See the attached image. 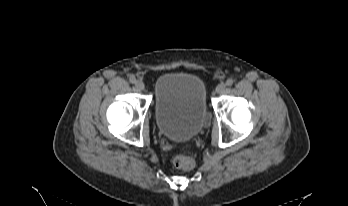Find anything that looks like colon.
<instances>
[{
    "label": "colon",
    "mask_w": 348,
    "mask_h": 206,
    "mask_svg": "<svg viewBox=\"0 0 348 206\" xmlns=\"http://www.w3.org/2000/svg\"><path fill=\"white\" fill-rule=\"evenodd\" d=\"M173 166L181 170H191L194 167V161L190 156L177 155L174 157Z\"/></svg>",
    "instance_id": "1"
}]
</instances>
